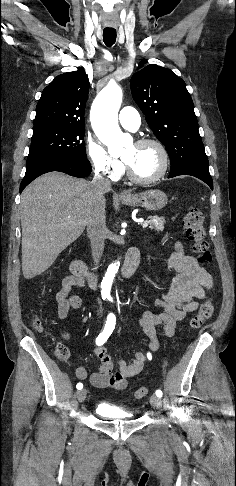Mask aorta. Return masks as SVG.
<instances>
[{"instance_id":"obj_1","label":"aorta","mask_w":236,"mask_h":486,"mask_svg":"<svg viewBox=\"0 0 236 486\" xmlns=\"http://www.w3.org/2000/svg\"><path fill=\"white\" fill-rule=\"evenodd\" d=\"M123 92L116 83H109L95 99L91 109L92 127L99 140L108 147L110 155H116L123 149L129 138L118 125V111L122 103ZM119 263L109 265L101 282V293L110 296L111 287L118 271Z\"/></svg>"}]
</instances>
